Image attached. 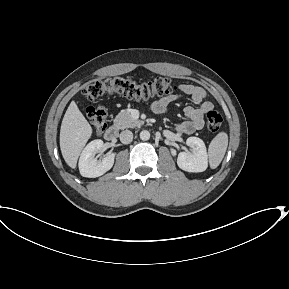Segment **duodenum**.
<instances>
[{
	"label": "duodenum",
	"mask_w": 289,
	"mask_h": 289,
	"mask_svg": "<svg viewBox=\"0 0 289 289\" xmlns=\"http://www.w3.org/2000/svg\"><path fill=\"white\" fill-rule=\"evenodd\" d=\"M118 137V130L115 127H109L104 134V138L109 142H114Z\"/></svg>",
	"instance_id": "410a0bca"
}]
</instances>
